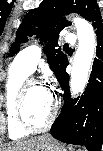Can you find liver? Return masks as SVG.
<instances>
[{
  "label": "liver",
  "instance_id": "obj_1",
  "mask_svg": "<svg viewBox=\"0 0 103 151\" xmlns=\"http://www.w3.org/2000/svg\"><path fill=\"white\" fill-rule=\"evenodd\" d=\"M39 137L30 138L28 140H23L16 142L9 146L5 151H32L36 141Z\"/></svg>",
  "mask_w": 103,
  "mask_h": 151
}]
</instances>
